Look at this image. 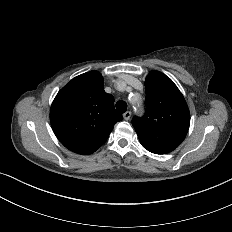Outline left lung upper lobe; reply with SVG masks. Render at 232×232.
Listing matches in <instances>:
<instances>
[{"mask_svg": "<svg viewBox=\"0 0 232 232\" xmlns=\"http://www.w3.org/2000/svg\"><path fill=\"white\" fill-rule=\"evenodd\" d=\"M145 89V115L132 120L140 143L148 151H173L182 143L189 129L190 114L186 101L173 81L159 71L148 74Z\"/></svg>", "mask_w": 232, "mask_h": 232, "instance_id": "left-lung-upper-lobe-1", "label": "left lung upper lobe"}]
</instances>
